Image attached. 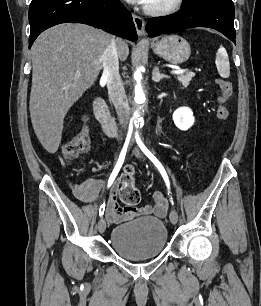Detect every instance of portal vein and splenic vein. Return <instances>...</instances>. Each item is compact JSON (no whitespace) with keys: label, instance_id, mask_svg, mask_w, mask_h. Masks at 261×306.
<instances>
[{"label":"portal vein and splenic vein","instance_id":"1","mask_svg":"<svg viewBox=\"0 0 261 306\" xmlns=\"http://www.w3.org/2000/svg\"><path fill=\"white\" fill-rule=\"evenodd\" d=\"M184 72H185V70H183V69L171 71L172 74H182V73H184Z\"/></svg>","mask_w":261,"mask_h":306}]
</instances>
